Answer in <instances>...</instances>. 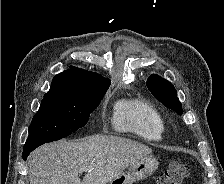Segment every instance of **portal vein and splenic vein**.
Segmentation results:
<instances>
[{
	"label": "portal vein and splenic vein",
	"instance_id": "18ae733b",
	"mask_svg": "<svg viewBox=\"0 0 224 184\" xmlns=\"http://www.w3.org/2000/svg\"><path fill=\"white\" fill-rule=\"evenodd\" d=\"M81 170H82V171H87V168H82Z\"/></svg>",
	"mask_w": 224,
	"mask_h": 184
}]
</instances>
